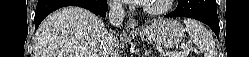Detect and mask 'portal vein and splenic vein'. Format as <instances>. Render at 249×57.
<instances>
[{"label":"portal vein and splenic vein","instance_id":"portal-vein-and-splenic-vein-1","mask_svg":"<svg viewBox=\"0 0 249 57\" xmlns=\"http://www.w3.org/2000/svg\"><path fill=\"white\" fill-rule=\"evenodd\" d=\"M183 51L168 54V57H184L189 54L190 49L186 46L182 47Z\"/></svg>","mask_w":249,"mask_h":57}]
</instances>
